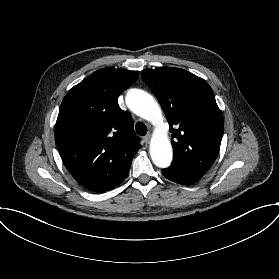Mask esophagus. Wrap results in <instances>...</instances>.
<instances>
[{
	"instance_id": "esophagus-1",
	"label": "esophagus",
	"mask_w": 279,
	"mask_h": 279,
	"mask_svg": "<svg viewBox=\"0 0 279 279\" xmlns=\"http://www.w3.org/2000/svg\"><path fill=\"white\" fill-rule=\"evenodd\" d=\"M150 137H151V134L148 133L144 138H143V142L145 144H148L150 142Z\"/></svg>"
}]
</instances>
